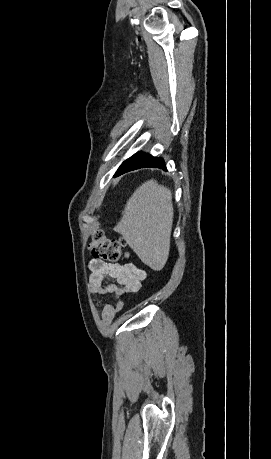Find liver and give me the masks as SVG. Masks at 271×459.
<instances>
[{"label":"liver","mask_w":271,"mask_h":459,"mask_svg":"<svg viewBox=\"0 0 271 459\" xmlns=\"http://www.w3.org/2000/svg\"><path fill=\"white\" fill-rule=\"evenodd\" d=\"M115 226L126 243L151 269H163L170 251L173 224L171 190L148 180L129 198Z\"/></svg>","instance_id":"obj_1"}]
</instances>
